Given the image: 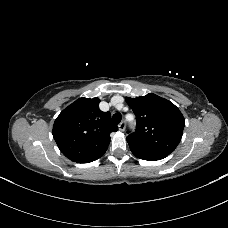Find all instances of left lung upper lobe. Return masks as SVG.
Returning <instances> with one entry per match:
<instances>
[{"mask_svg": "<svg viewBox=\"0 0 228 228\" xmlns=\"http://www.w3.org/2000/svg\"><path fill=\"white\" fill-rule=\"evenodd\" d=\"M126 102L136 116V131L127 137L130 148L172 153L179 144L185 120L170 101L153 93L130 98Z\"/></svg>", "mask_w": 228, "mask_h": 228, "instance_id": "obj_1", "label": "left lung upper lobe"}]
</instances>
